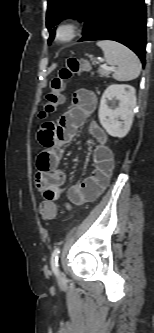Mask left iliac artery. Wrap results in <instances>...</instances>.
Segmentation results:
<instances>
[{"label":"left iliac artery","mask_w":154,"mask_h":333,"mask_svg":"<svg viewBox=\"0 0 154 333\" xmlns=\"http://www.w3.org/2000/svg\"><path fill=\"white\" fill-rule=\"evenodd\" d=\"M60 253L59 247L55 248L52 255H51V267L55 275L59 274L58 270V256Z\"/></svg>","instance_id":"44dca946"}]
</instances>
